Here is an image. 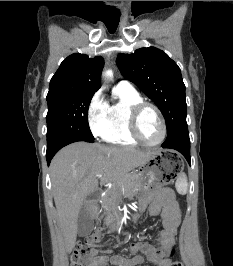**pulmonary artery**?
I'll return each mask as SVG.
<instances>
[{"label": "pulmonary artery", "instance_id": "1", "mask_svg": "<svg viewBox=\"0 0 233 266\" xmlns=\"http://www.w3.org/2000/svg\"><path fill=\"white\" fill-rule=\"evenodd\" d=\"M117 86L122 87V88H126V89H134V87L132 86V84L127 81V80H122L120 81Z\"/></svg>", "mask_w": 233, "mask_h": 266}]
</instances>
